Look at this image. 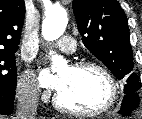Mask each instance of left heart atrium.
Listing matches in <instances>:
<instances>
[{
    "label": "left heart atrium",
    "mask_w": 142,
    "mask_h": 119,
    "mask_svg": "<svg viewBox=\"0 0 142 119\" xmlns=\"http://www.w3.org/2000/svg\"><path fill=\"white\" fill-rule=\"evenodd\" d=\"M40 82L43 86L59 91L63 85V78L58 76H53L49 72L44 71L40 76Z\"/></svg>",
    "instance_id": "left-heart-atrium-1"
}]
</instances>
